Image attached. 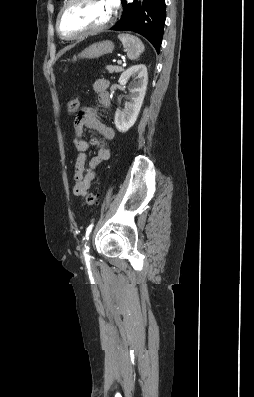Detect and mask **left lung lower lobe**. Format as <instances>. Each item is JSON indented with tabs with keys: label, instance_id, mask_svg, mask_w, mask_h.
<instances>
[{
	"label": "left lung lower lobe",
	"instance_id": "1",
	"mask_svg": "<svg viewBox=\"0 0 254 397\" xmlns=\"http://www.w3.org/2000/svg\"><path fill=\"white\" fill-rule=\"evenodd\" d=\"M123 14L120 21L111 28L116 31H134L143 35L159 53L166 18L165 0H138L127 3L121 0Z\"/></svg>",
	"mask_w": 254,
	"mask_h": 397
}]
</instances>
